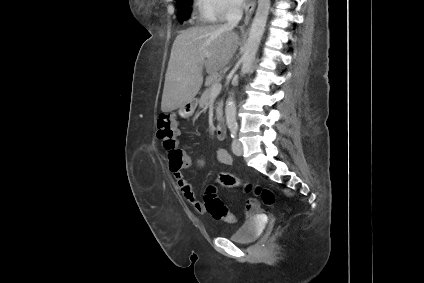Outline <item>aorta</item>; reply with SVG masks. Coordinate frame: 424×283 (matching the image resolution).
I'll return each mask as SVG.
<instances>
[{"label": "aorta", "mask_w": 424, "mask_h": 283, "mask_svg": "<svg viewBox=\"0 0 424 283\" xmlns=\"http://www.w3.org/2000/svg\"><path fill=\"white\" fill-rule=\"evenodd\" d=\"M258 5L253 19L249 36L244 45V52L241 58V75L248 73L255 60L258 47L265 31V26L270 9V0H258ZM225 118L228 127L236 126V103L234 93L228 97L225 106Z\"/></svg>", "instance_id": "762f6f07"}]
</instances>
